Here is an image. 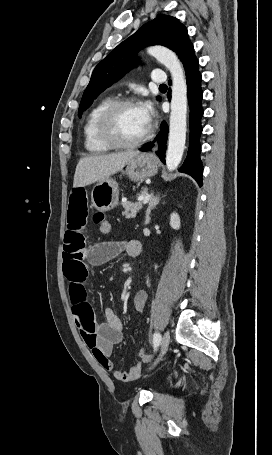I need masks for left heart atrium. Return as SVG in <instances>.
<instances>
[{
    "instance_id": "obj_1",
    "label": "left heart atrium",
    "mask_w": 272,
    "mask_h": 455,
    "mask_svg": "<svg viewBox=\"0 0 272 455\" xmlns=\"http://www.w3.org/2000/svg\"><path fill=\"white\" fill-rule=\"evenodd\" d=\"M144 124L148 128L153 116V108L150 102H143L138 106Z\"/></svg>"
}]
</instances>
